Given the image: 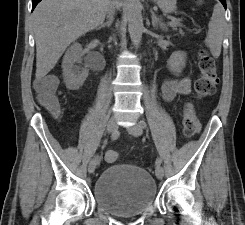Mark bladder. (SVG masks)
I'll return each mask as SVG.
<instances>
[{
  "instance_id": "obj_1",
  "label": "bladder",
  "mask_w": 245,
  "mask_h": 225,
  "mask_svg": "<svg viewBox=\"0 0 245 225\" xmlns=\"http://www.w3.org/2000/svg\"><path fill=\"white\" fill-rule=\"evenodd\" d=\"M94 202L106 213L127 217L143 214L157 200L151 174L135 165L115 164L102 169L92 186Z\"/></svg>"
}]
</instances>
